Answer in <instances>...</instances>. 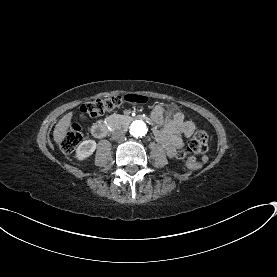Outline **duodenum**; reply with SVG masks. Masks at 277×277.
Wrapping results in <instances>:
<instances>
[{
  "instance_id": "obj_1",
  "label": "duodenum",
  "mask_w": 277,
  "mask_h": 277,
  "mask_svg": "<svg viewBox=\"0 0 277 277\" xmlns=\"http://www.w3.org/2000/svg\"><path fill=\"white\" fill-rule=\"evenodd\" d=\"M130 120V117H124L121 120L114 122L99 121L94 124L92 128V133L97 138H103L108 134L110 130L116 127H125L130 122Z\"/></svg>"
}]
</instances>
